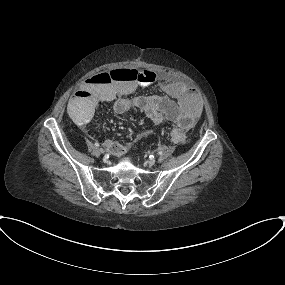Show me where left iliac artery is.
I'll return each mask as SVG.
<instances>
[{
  "label": "left iliac artery",
  "mask_w": 285,
  "mask_h": 285,
  "mask_svg": "<svg viewBox=\"0 0 285 285\" xmlns=\"http://www.w3.org/2000/svg\"><path fill=\"white\" fill-rule=\"evenodd\" d=\"M158 154H159V155H161V154H162V152H161V151H159V152H158Z\"/></svg>",
  "instance_id": "obj_1"
}]
</instances>
